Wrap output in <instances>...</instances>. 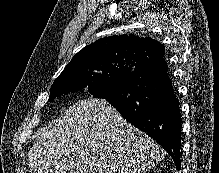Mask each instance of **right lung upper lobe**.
<instances>
[{
  "instance_id": "1",
  "label": "right lung upper lobe",
  "mask_w": 219,
  "mask_h": 173,
  "mask_svg": "<svg viewBox=\"0 0 219 173\" xmlns=\"http://www.w3.org/2000/svg\"><path fill=\"white\" fill-rule=\"evenodd\" d=\"M164 52V46L150 37L140 38L133 34L104 37L78 52L59 76L67 72L80 74L115 62L137 67L148 60L164 61Z\"/></svg>"
}]
</instances>
